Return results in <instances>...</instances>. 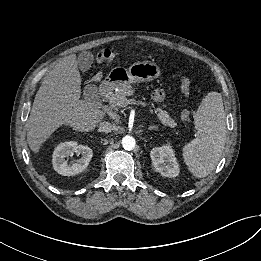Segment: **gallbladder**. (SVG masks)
I'll return each mask as SVG.
<instances>
[{"instance_id": "obj_1", "label": "gallbladder", "mask_w": 261, "mask_h": 261, "mask_svg": "<svg viewBox=\"0 0 261 261\" xmlns=\"http://www.w3.org/2000/svg\"><path fill=\"white\" fill-rule=\"evenodd\" d=\"M93 63V55L81 53L78 59L79 68L82 72H86L90 69ZM84 97L86 100L93 102L94 104L99 100V94L97 88L93 85H88L84 90Z\"/></svg>"}]
</instances>
